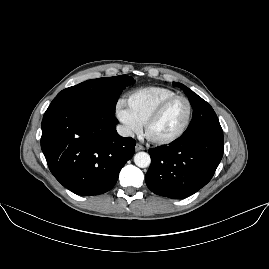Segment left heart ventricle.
Wrapping results in <instances>:
<instances>
[{"label": "left heart ventricle", "instance_id": "obj_1", "mask_svg": "<svg viewBox=\"0 0 269 269\" xmlns=\"http://www.w3.org/2000/svg\"><path fill=\"white\" fill-rule=\"evenodd\" d=\"M187 116V103L178 100L172 103L162 116L151 126L149 134L153 139L172 137L184 125Z\"/></svg>", "mask_w": 269, "mask_h": 269}]
</instances>
